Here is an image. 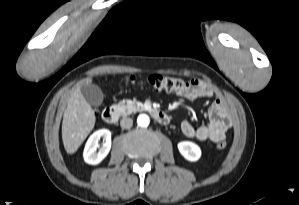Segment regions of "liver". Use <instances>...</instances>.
Instances as JSON below:
<instances>
[{
    "mask_svg": "<svg viewBox=\"0 0 299 205\" xmlns=\"http://www.w3.org/2000/svg\"><path fill=\"white\" fill-rule=\"evenodd\" d=\"M92 79L86 80L90 84ZM95 113L85 100L80 87L71 94L62 121V140L67 153L77 151L95 125Z\"/></svg>",
    "mask_w": 299,
    "mask_h": 205,
    "instance_id": "liver-1",
    "label": "liver"
}]
</instances>
